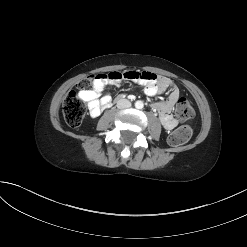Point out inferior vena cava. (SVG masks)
Segmentation results:
<instances>
[{
    "label": "inferior vena cava",
    "mask_w": 247,
    "mask_h": 247,
    "mask_svg": "<svg viewBox=\"0 0 247 247\" xmlns=\"http://www.w3.org/2000/svg\"><path fill=\"white\" fill-rule=\"evenodd\" d=\"M117 107L119 109L129 108V107H131V102L127 99H120L117 102Z\"/></svg>",
    "instance_id": "inferior-vena-cava-1"
}]
</instances>
